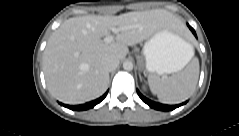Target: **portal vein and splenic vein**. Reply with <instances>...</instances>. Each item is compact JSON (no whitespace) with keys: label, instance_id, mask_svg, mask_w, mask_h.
<instances>
[{"label":"portal vein and splenic vein","instance_id":"obj_1","mask_svg":"<svg viewBox=\"0 0 239 136\" xmlns=\"http://www.w3.org/2000/svg\"><path fill=\"white\" fill-rule=\"evenodd\" d=\"M127 28L126 27H120V28H112V33L113 34H116L120 31H123V30H126ZM113 34H110V35H107L105 38H104V42L105 43H111L113 40H114V35Z\"/></svg>","mask_w":239,"mask_h":136}]
</instances>
